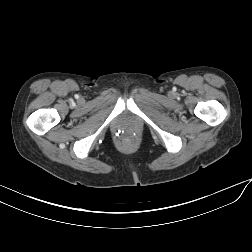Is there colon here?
<instances>
[{
	"mask_svg": "<svg viewBox=\"0 0 252 252\" xmlns=\"http://www.w3.org/2000/svg\"><path fill=\"white\" fill-rule=\"evenodd\" d=\"M128 143L124 140L121 141V146L122 147H127Z\"/></svg>",
	"mask_w": 252,
	"mask_h": 252,
	"instance_id": "5ec220e1",
	"label": "colon"
}]
</instances>
